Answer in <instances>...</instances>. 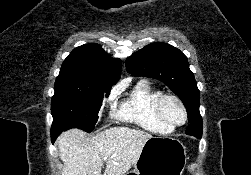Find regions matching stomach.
<instances>
[{
  "label": "stomach",
  "mask_w": 251,
  "mask_h": 175,
  "mask_svg": "<svg viewBox=\"0 0 251 175\" xmlns=\"http://www.w3.org/2000/svg\"><path fill=\"white\" fill-rule=\"evenodd\" d=\"M186 147L177 137L152 135L127 175H182L186 165Z\"/></svg>",
  "instance_id": "1"
}]
</instances>
